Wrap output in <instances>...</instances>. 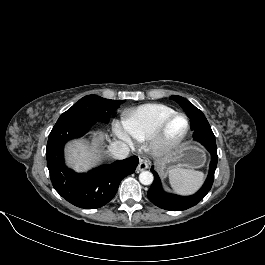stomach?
Listing matches in <instances>:
<instances>
[{"label":"stomach","instance_id":"obj_1","mask_svg":"<svg viewBox=\"0 0 265 265\" xmlns=\"http://www.w3.org/2000/svg\"><path fill=\"white\" fill-rule=\"evenodd\" d=\"M206 161L205 151L197 145H184L170 154L161 165L162 171L173 168L195 169L202 167Z\"/></svg>","mask_w":265,"mask_h":265}]
</instances>
